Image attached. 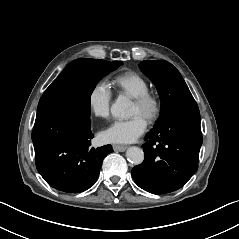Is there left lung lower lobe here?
<instances>
[{
    "label": "left lung lower lobe",
    "instance_id": "left-lung-lower-lobe-1",
    "mask_svg": "<svg viewBox=\"0 0 239 239\" xmlns=\"http://www.w3.org/2000/svg\"><path fill=\"white\" fill-rule=\"evenodd\" d=\"M145 140L144 161L132 169L134 181L153 194L178 190L198 169L203 141L198 106L173 112Z\"/></svg>",
    "mask_w": 239,
    "mask_h": 239
}]
</instances>
